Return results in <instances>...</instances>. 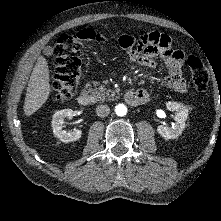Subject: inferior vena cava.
<instances>
[{
    "label": "inferior vena cava",
    "instance_id": "1",
    "mask_svg": "<svg viewBox=\"0 0 221 221\" xmlns=\"http://www.w3.org/2000/svg\"><path fill=\"white\" fill-rule=\"evenodd\" d=\"M109 113H110V108L107 105H99L96 108V114L99 117H106L109 115Z\"/></svg>",
    "mask_w": 221,
    "mask_h": 221
}]
</instances>
